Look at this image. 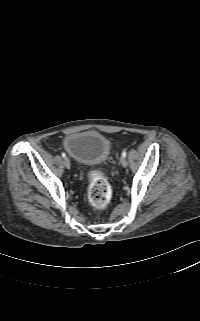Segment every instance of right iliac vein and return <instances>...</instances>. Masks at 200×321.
<instances>
[{
	"instance_id": "1",
	"label": "right iliac vein",
	"mask_w": 200,
	"mask_h": 321,
	"mask_svg": "<svg viewBox=\"0 0 200 321\" xmlns=\"http://www.w3.org/2000/svg\"><path fill=\"white\" fill-rule=\"evenodd\" d=\"M64 165L67 167V168H70V160L66 157L65 159H64Z\"/></svg>"
}]
</instances>
